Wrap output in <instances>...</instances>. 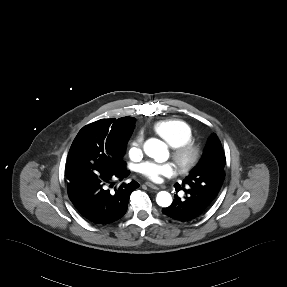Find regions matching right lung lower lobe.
<instances>
[{"instance_id":"obj_1","label":"right lung lower lobe","mask_w":287,"mask_h":287,"mask_svg":"<svg viewBox=\"0 0 287 287\" xmlns=\"http://www.w3.org/2000/svg\"><path fill=\"white\" fill-rule=\"evenodd\" d=\"M65 172L69 199L78 213L94 224H108L123 217L130 194L140 186L133 180L109 190L113 179L122 180L130 172L125 165L112 168L89 158L67 162Z\"/></svg>"}]
</instances>
